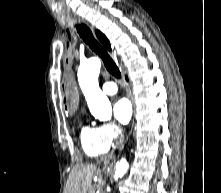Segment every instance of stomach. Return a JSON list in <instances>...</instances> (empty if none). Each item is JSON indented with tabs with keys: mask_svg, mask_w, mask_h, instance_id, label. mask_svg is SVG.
Segmentation results:
<instances>
[{
	"mask_svg": "<svg viewBox=\"0 0 221 193\" xmlns=\"http://www.w3.org/2000/svg\"><path fill=\"white\" fill-rule=\"evenodd\" d=\"M78 98H61V103L63 109H66V112H77V107H79ZM76 164L80 163L79 159L75 160Z\"/></svg>",
	"mask_w": 221,
	"mask_h": 193,
	"instance_id": "stomach-1",
	"label": "stomach"
}]
</instances>
